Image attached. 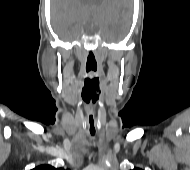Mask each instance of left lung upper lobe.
<instances>
[{
  "label": "left lung upper lobe",
  "mask_w": 190,
  "mask_h": 170,
  "mask_svg": "<svg viewBox=\"0 0 190 170\" xmlns=\"http://www.w3.org/2000/svg\"><path fill=\"white\" fill-rule=\"evenodd\" d=\"M133 170H142V169H139V168H134Z\"/></svg>",
  "instance_id": "left-lung-upper-lobe-1"
}]
</instances>
